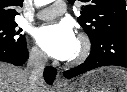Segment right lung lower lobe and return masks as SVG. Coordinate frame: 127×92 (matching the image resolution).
Returning <instances> with one entry per match:
<instances>
[{"label": "right lung lower lobe", "mask_w": 127, "mask_h": 92, "mask_svg": "<svg viewBox=\"0 0 127 92\" xmlns=\"http://www.w3.org/2000/svg\"><path fill=\"white\" fill-rule=\"evenodd\" d=\"M28 58L27 46L14 47L9 44H0V60L14 65H22ZM56 69L48 66L44 71V78L48 84H52L56 76Z\"/></svg>", "instance_id": "1"}]
</instances>
